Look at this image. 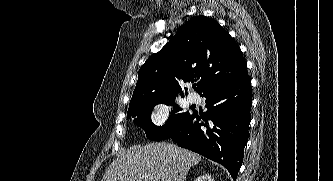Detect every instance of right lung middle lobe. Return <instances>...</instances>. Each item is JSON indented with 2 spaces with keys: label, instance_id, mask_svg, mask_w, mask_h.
I'll return each mask as SVG.
<instances>
[{
  "label": "right lung middle lobe",
  "instance_id": "1",
  "mask_svg": "<svg viewBox=\"0 0 333 181\" xmlns=\"http://www.w3.org/2000/svg\"><path fill=\"white\" fill-rule=\"evenodd\" d=\"M175 98L161 99V100H151L144 102L136 107L128 110L127 118L133 117V121L136 125L143 128L147 138L160 141L170 138L180 127V125L190 116L188 112H181V108L175 105ZM164 103L167 105H173L174 115H171L164 126H155L151 119V111L155 105Z\"/></svg>",
  "mask_w": 333,
  "mask_h": 181
}]
</instances>
